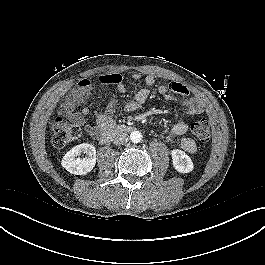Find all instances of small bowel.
I'll return each instance as SVG.
<instances>
[{"label": "small bowel", "instance_id": "c3829d8e", "mask_svg": "<svg viewBox=\"0 0 265 265\" xmlns=\"http://www.w3.org/2000/svg\"><path fill=\"white\" fill-rule=\"evenodd\" d=\"M141 77L140 73H134L132 75L134 80H140ZM104 82L114 84L120 93H124L126 91V86L123 82L122 76L119 74L105 76ZM144 83L145 87L138 90L129 101L123 104L122 109L125 112H133L137 110L149 98L150 88L155 84L154 76L147 75L144 78ZM158 93L168 100L179 101L185 107L183 117L174 123L167 139L169 141L178 139L180 147L185 152L194 153L196 151L195 141L184 135L188 131L190 121L197 115L203 113L204 106L202 102L198 98L188 97L187 88L178 82L159 85ZM89 95L90 81L85 78L80 79L77 85L67 94L63 103V109L73 122L79 125H84L87 133L94 136L99 132L111 129L114 125V119L110 112L101 111L97 114L95 124H86L84 117L90 113L89 107L83 106L80 111H77V109L86 103Z\"/></svg>", "mask_w": 265, "mask_h": 265}]
</instances>
